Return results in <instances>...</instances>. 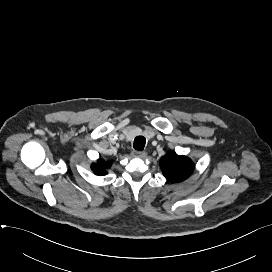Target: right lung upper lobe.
Returning <instances> with one entry per match:
<instances>
[{"mask_svg":"<svg viewBox=\"0 0 272 272\" xmlns=\"http://www.w3.org/2000/svg\"><path fill=\"white\" fill-rule=\"evenodd\" d=\"M110 166H111V162H106L102 159H99L97 163L92 164L91 168L96 175L102 176L107 173L105 169Z\"/></svg>","mask_w":272,"mask_h":272,"instance_id":"right-lung-upper-lobe-1","label":"right lung upper lobe"}]
</instances>
